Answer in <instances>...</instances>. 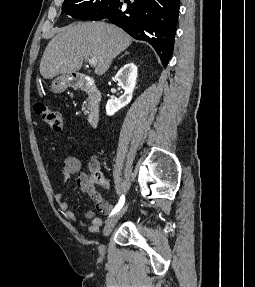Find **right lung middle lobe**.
Masks as SVG:
<instances>
[{
	"instance_id": "dd1d6c3e",
	"label": "right lung middle lobe",
	"mask_w": 255,
	"mask_h": 287,
	"mask_svg": "<svg viewBox=\"0 0 255 287\" xmlns=\"http://www.w3.org/2000/svg\"><path fill=\"white\" fill-rule=\"evenodd\" d=\"M119 4L120 0H64L62 11L82 20H101Z\"/></svg>"
}]
</instances>
